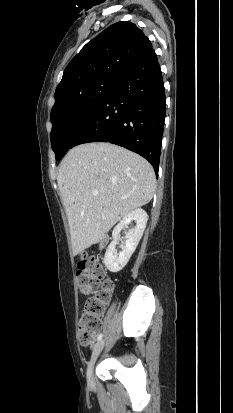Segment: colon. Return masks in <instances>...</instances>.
<instances>
[{
	"instance_id": "obj_1",
	"label": "colon",
	"mask_w": 233,
	"mask_h": 413,
	"mask_svg": "<svg viewBox=\"0 0 233 413\" xmlns=\"http://www.w3.org/2000/svg\"><path fill=\"white\" fill-rule=\"evenodd\" d=\"M76 275L80 292L84 295L93 293L86 301L78 328L80 343L89 346L94 342L100 327L101 317L109 301L113 284L105 278V272L98 260L86 253L80 256Z\"/></svg>"
}]
</instances>
